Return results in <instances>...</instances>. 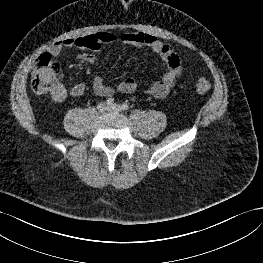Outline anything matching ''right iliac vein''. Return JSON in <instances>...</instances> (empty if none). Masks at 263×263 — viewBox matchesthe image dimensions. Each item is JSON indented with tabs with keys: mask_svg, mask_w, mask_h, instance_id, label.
Wrapping results in <instances>:
<instances>
[{
	"mask_svg": "<svg viewBox=\"0 0 263 263\" xmlns=\"http://www.w3.org/2000/svg\"><path fill=\"white\" fill-rule=\"evenodd\" d=\"M97 109L100 112H105L108 109V106L105 103H99Z\"/></svg>",
	"mask_w": 263,
	"mask_h": 263,
	"instance_id": "63e3f726",
	"label": "right iliac vein"
}]
</instances>
